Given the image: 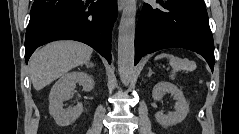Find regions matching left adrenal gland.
Instances as JSON below:
<instances>
[{
	"mask_svg": "<svg viewBox=\"0 0 239 134\" xmlns=\"http://www.w3.org/2000/svg\"><path fill=\"white\" fill-rule=\"evenodd\" d=\"M152 74H153V72H152L151 68H149V73L147 76L150 77Z\"/></svg>",
	"mask_w": 239,
	"mask_h": 134,
	"instance_id": "1",
	"label": "left adrenal gland"
}]
</instances>
